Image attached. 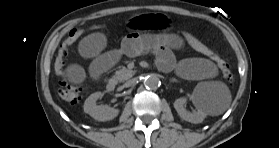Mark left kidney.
<instances>
[{"instance_id":"5707ae66","label":"left kidney","mask_w":279,"mask_h":148,"mask_svg":"<svg viewBox=\"0 0 279 148\" xmlns=\"http://www.w3.org/2000/svg\"><path fill=\"white\" fill-rule=\"evenodd\" d=\"M194 106L196 107V111L189 112L185 108V103L187 101L186 97H180L175 100L174 108L177 111L178 115L184 119L185 121L198 124L203 122L204 118L208 114V109L204 102L202 101L199 94L194 90L192 95L190 96Z\"/></svg>"}]
</instances>
